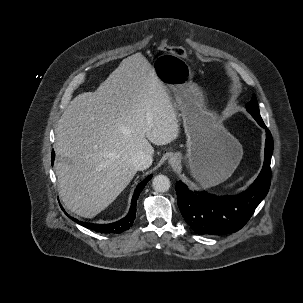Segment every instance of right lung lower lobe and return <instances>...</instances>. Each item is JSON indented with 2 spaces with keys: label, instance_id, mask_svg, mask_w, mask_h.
<instances>
[{
  "label": "right lung lower lobe",
  "instance_id": "1",
  "mask_svg": "<svg viewBox=\"0 0 303 303\" xmlns=\"http://www.w3.org/2000/svg\"><path fill=\"white\" fill-rule=\"evenodd\" d=\"M54 157H55V153H54V151H52V160H51L52 165L54 162ZM151 178H152V175H149L137 186V188L134 192L133 198H132V203H131V207H130V211H129L128 215L125 218L119 220L118 222H114V223H110V224H93V223L81 222L75 218H72L73 221H75L79 225H82L88 229H91V230H94V231L100 232V233H121L125 230H128L132 226V224L135 220V217H136V202H137L138 195L140 194V192L142 191V189L144 188L146 183Z\"/></svg>",
  "mask_w": 303,
  "mask_h": 303
}]
</instances>
